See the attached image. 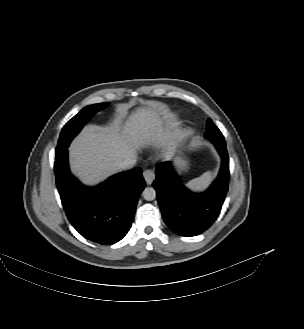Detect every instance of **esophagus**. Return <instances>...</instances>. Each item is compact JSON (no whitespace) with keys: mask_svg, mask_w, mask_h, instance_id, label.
Masks as SVG:
<instances>
[{"mask_svg":"<svg viewBox=\"0 0 304 329\" xmlns=\"http://www.w3.org/2000/svg\"><path fill=\"white\" fill-rule=\"evenodd\" d=\"M143 177L145 179V182L150 185L152 184L153 180L155 179V173L150 170V169H147L143 172Z\"/></svg>","mask_w":304,"mask_h":329,"instance_id":"34e87169","label":"esophagus"}]
</instances>
